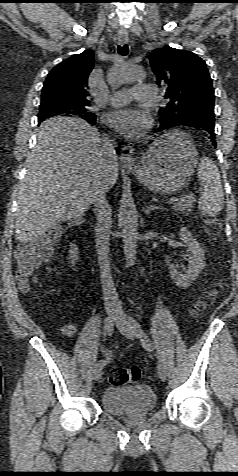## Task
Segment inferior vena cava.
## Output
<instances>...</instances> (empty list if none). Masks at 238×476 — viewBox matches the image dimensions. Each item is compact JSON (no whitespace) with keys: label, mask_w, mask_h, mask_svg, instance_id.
<instances>
[{"label":"inferior vena cava","mask_w":238,"mask_h":476,"mask_svg":"<svg viewBox=\"0 0 238 476\" xmlns=\"http://www.w3.org/2000/svg\"><path fill=\"white\" fill-rule=\"evenodd\" d=\"M102 151L107 158L105 167V176L97 189L94 199L95 211L97 216L96 227V249L98 263L100 267L102 289L106 307L112 308L117 312L121 311V304L111 276L109 264V237H110V208L108 203L102 204L101 198L105 197L110 188L109 172L117 164V153L114 143L109 139H102Z\"/></svg>","instance_id":"602c4592"}]
</instances>
